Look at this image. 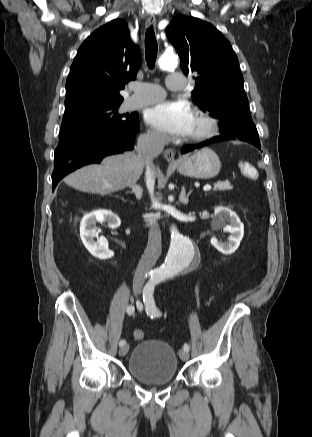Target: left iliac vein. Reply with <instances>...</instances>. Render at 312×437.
<instances>
[{"instance_id":"left-iliac-vein-1","label":"left iliac vein","mask_w":312,"mask_h":437,"mask_svg":"<svg viewBox=\"0 0 312 437\" xmlns=\"http://www.w3.org/2000/svg\"><path fill=\"white\" fill-rule=\"evenodd\" d=\"M179 356H180L181 360H183V361H187L189 359V353H188V351H186L184 349L179 351Z\"/></svg>"}]
</instances>
